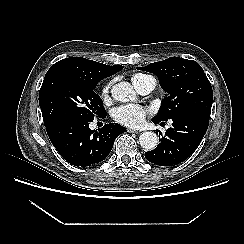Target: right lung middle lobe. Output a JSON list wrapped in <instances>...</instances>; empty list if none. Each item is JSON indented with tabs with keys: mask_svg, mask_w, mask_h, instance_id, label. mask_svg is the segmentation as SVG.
<instances>
[{
	"mask_svg": "<svg viewBox=\"0 0 244 244\" xmlns=\"http://www.w3.org/2000/svg\"><path fill=\"white\" fill-rule=\"evenodd\" d=\"M97 83L50 68L39 91L44 125L71 119L93 121L95 116L104 118L103 102L94 92Z\"/></svg>",
	"mask_w": 244,
	"mask_h": 244,
	"instance_id": "dd1d6c3e",
	"label": "right lung middle lobe"
}]
</instances>
